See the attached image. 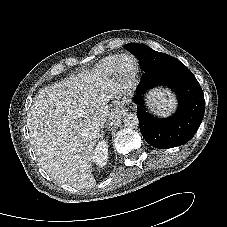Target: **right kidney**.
Masks as SVG:
<instances>
[{
    "label": "right kidney",
    "instance_id": "obj_1",
    "mask_svg": "<svg viewBox=\"0 0 227 227\" xmlns=\"http://www.w3.org/2000/svg\"><path fill=\"white\" fill-rule=\"evenodd\" d=\"M92 161L99 167H104L108 161V144L106 141H100L93 151Z\"/></svg>",
    "mask_w": 227,
    "mask_h": 227
}]
</instances>
